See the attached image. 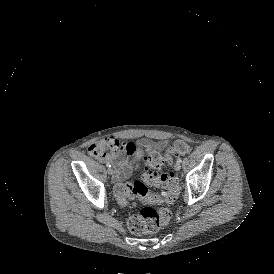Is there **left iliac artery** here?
Returning a JSON list of instances; mask_svg holds the SVG:
<instances>
[{
	"mask_svg": "<svg viewBox=\"0 0 274 274\" xmlns=\"http://www.w3.org/2000/svg\"><path fill=\"white\" fill-rule=\"evenodd\" d=\"M177 162H178V163H181V162H182V159L179 157V158L177 159Z\"/></svg>",
	"mask_w": 274,
	"mask_h": 274,
	"instance_id": "1",
	"label": "left iliac artery"
}]
</instances>
